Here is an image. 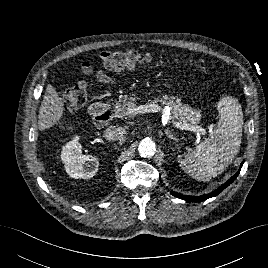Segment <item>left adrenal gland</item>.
<instances>
[{"label": "left adrenal gland", "instance_id": "a2214340", "mask_svg": "<svg viewBox=\"0 0 268 268\" xmlns=\"http://www.w3.org/2000/svg\"><path fill=\"white\" fill-rule=\"evenodd\" d=\"M165 134L167 135L168 138L172 139L173 141L175 142L179 141V139L173 136V134L167 129H165ZM176 145L178 146L179 144H176Z\"/></svg>", "mask_w": 268, "mask_h": 268}]
</instances>
